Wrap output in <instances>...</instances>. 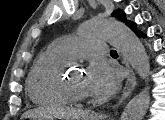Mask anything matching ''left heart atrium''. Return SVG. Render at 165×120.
Wrapping results in <instances>:
<instances>
[{
    "label": "left heart atrium",
    "mask_w": 165,
    "mask_h": 120,
    "mask_svg": "<svg viewBox=\"0 0 165 120\" xmlns=\"http://www.w3.org/2000/svg\"><path fill=\"white\" fill-rule=\"evenodd\" d=\"M120 81L118 70L102 60L91 63L87 72V87L92 95L108 97L113 94Z\"/></svg>",
    "instance_id": "39dd6f15"
}]
</instances>
